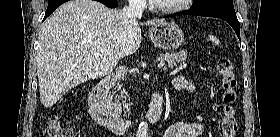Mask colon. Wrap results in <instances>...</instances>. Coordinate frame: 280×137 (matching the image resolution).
Returning a JSON list of instances; mask_svg holds the SVG:
<instances>
[{"label": "colon", "instance_id": "5ec220e1", "mask_svg": "<svg viewBox=\"0 0 280 137\" xmlns=\"http://www.w3.org/2000/svg\"><path fill=\"white\" fill-rule=\"evenodd\" d=\"M217 73L221 77L223 87V117L221 130L223 137H235L238 129L236 120V77L229 58L220 57L217 62ZM49 137H73V131L57 120L47 123Z\"/></svg>", "mask_w": 280, "mask_h": 137}]
</instances>
